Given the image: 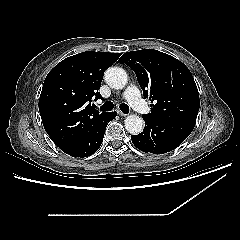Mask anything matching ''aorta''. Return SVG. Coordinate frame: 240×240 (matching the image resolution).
<instances>
[{
    "label": "aorta",
    "mask_w": 240,
    "mask_h": 240,
    "mask_svg": "<svg viewBox=\"0 0 240 240\" xmlns=\"http://www.w3.org/2000/svg\"><path fill=\"white\" fill-rule=\"evenodd\" d=\"M104 78L106 83L116 90L123 89L128 81L126 71L119 67L107 69ZM124 123L126 130L132 135L141 133L144 127L143 119L135 114L127 116Z\"/></svg>",
    "instance_id": "1"
}]
</instances>
